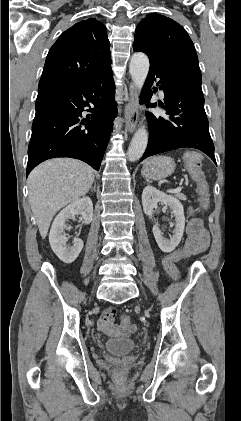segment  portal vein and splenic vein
<instances>
[{
    "label": "portal vein and splenic vein",
    "mask_w": 241,
    "mask_h": 421,
    "mask_svg": "<svg viewBox=\"0 0 241 421\" xmlns=\"http://www.w3.org/2000/svg\"><path fill=\"white\" fill-rule=\"evenodd\" d=\"M181 191V187L179 186V187H177V188H175V189H169V190H167V192H170V193H179Z\"/></svg>",
    "instance_id": "1"
}]
</instances>
